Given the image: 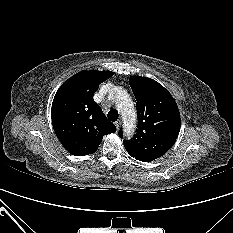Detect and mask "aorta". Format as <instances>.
<instances>
[{
    "instance_id": "1",
    "label": "aorta",
    "mask_w": 233,
    "mask_h": 233,
    "mask_svg": "<svg viewBox=\"0 0 233 233\" xmlns=\"http://www.w3.org/2000/svg\"><path fill=\"white\" fill-rule=\"evenodd\" d=\"M111 98L122 115L125 132L131 135L135 128L136 110L128 93L121 87H115L111 91Z\"/></svg>"
}]
</instances>
